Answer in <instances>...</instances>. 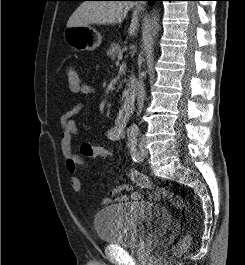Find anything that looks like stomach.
Segmentation results:
<instances>
[{
    "instance_id": "stomach-1",
    "label": "stomach",
    "mask_w": 245,
    "mask_h": 265,
    "mask_svg": "<svg viewBox=\"0 0 245 265\" xmlns=\"http://www.w3.org/2000/svg\"><path fill=\"white\" fill-rule=\"evenodd\" d=\"M66 43L74 51H93L101 44L100 33L90 26L67 27L63 33Z\"/></svg>"
}]
</instances>
